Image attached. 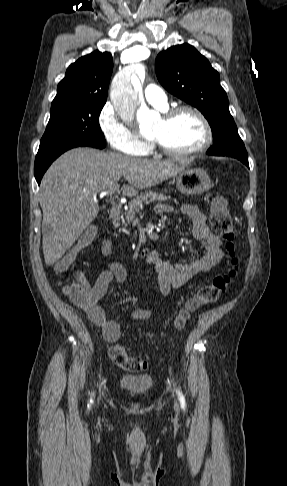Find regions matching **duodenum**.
Returning <instances> with one entry per match:
<instances>
[{
	"mask_svg": "<svg viewBox=\"0 0 287 486\" xmlns=\"http://www.w3.org/2000/svg\"><path fill=\"white\" fill-rule=\"evenodd\" d=\"M120 213H121V207L118 204L113 205L111 207V209L109 210V216H110L111 219L118 218L119 215H120ZM147 254H148V252L147 251H144V255H147Z\"/></svg>",
	"mask_w": 287,
	"mask_h": 486,
	"instance_id": "410a0bca",
	"label": "duodenum"
}]
</instances>
